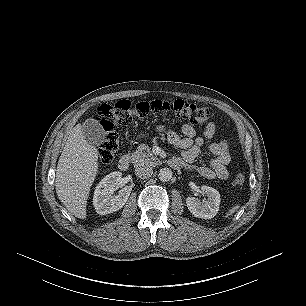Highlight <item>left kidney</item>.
I'll return each mask as SVG.
<instances>
[{"label":"left kidney","instance_id":"5707ae66","mask_svg":"<svg viewBox=\"0 0 306 306\" xmlns=\"http://www.w3.org/2000/svg\"><path fill=\"white\" fill-rule=\"evenodd\" d=\"M201 192L207 196L203 202H200L195 197H187L186 205L189 211L198 218L202 219H211L213 218L218 210L220 205V194L219 192L209 186H201Z\"/></svg>","mask_w":306,"mask_h":306}]
</instances>
